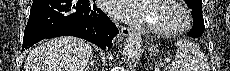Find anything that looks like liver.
I'll return each mask as SVG.
<instances>
[{
	"label": "liver",
	"instance_id": "6515ba94",
	"mask_svg": "<svg viewBox=\"0 0 230 71\" xmlns=\"http://www.w3.org/2000/svg\"><path fill=\"white\" fill-rule=\"evenodd\" d=\"M91 55L90 44L82 39L54 38L29 52L25 71H84Z\"/></svg>",
	"mask_w": 230,
	"mask_h": 71
}]
</instances>
